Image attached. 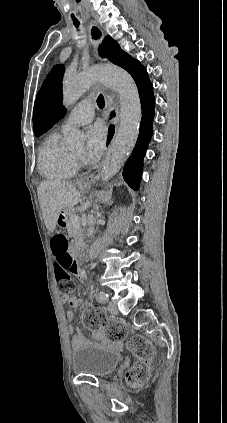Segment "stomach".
I'll return each instance as SVG.
<instances>
[{
  "label": "stomach",
  "instance_id": "1",
  "mask_svg": "<svg viewBox=\"0 0 227 423\" xmlns=\"http://www.w3.org/2000/svg\"><path fill=\"white\" fill-rule=\"evenodd\" d=\"M92 182H93V180H90V184H87V186H84V184H81V182H79L78 186H79L80 190H83V192H89V190H91Z\"/></svg>",
  "mask_w": 227,
  "mask_h": 423
}]
</instances>
